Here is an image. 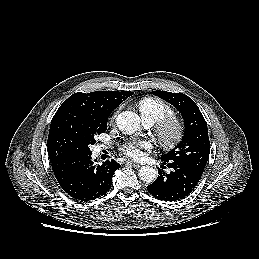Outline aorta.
Wrapping results in <instances>:
<instances>
[{"mask_svg":"<svg viewBox=\"0 0 259 259\" xmlns=\"http://www.w3.org/2000/svg\"><path fill=\"white\" fill-rule=\"evenodd\" d=\"M140 117L132 111H123L116 118L118 128L125 134H132L140 129ZM139 177L143 182L151 183L157 178V171L150 166H142Z\"/></svg>","mask_w":259,"mask_h":259,"instance_id":"aorta-1","label":"aorta"}]
</instances>
